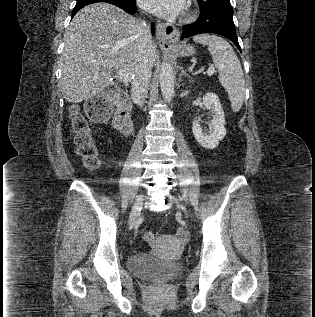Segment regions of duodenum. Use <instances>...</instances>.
Instances as JSON below:
<instances>
[{"mask_svg":"<svg viewBox=\"0 0 315 317\" xmlns=\"http://www.w3.org/2000/svg\"><path fill=\"white\" fill-rule=\"evenodd\" d=\"M117 103L118 109L114 117V126L125 137H128L133 130V124L130 115L131 102L126 94L119 92L117 94Z\"/></svg>","mask_w":315,"mask_h":317,"instance_id":"duodenum-1","label":"duodenum"}]
</instances>
